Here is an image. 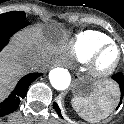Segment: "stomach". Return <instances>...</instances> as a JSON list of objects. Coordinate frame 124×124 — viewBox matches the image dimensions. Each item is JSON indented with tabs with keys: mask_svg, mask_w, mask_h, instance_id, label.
I'll list each match as a JSON object with an SVG mask.
<instances>
[{
	"mask_svg": "<svg viewBox=\"0 0 124 124\" xmlns=\"http://www.w3.org/2000/svg\"><path fill=\"white\" fill-rule=\"evenodd\" d=\"M99 91H104L110 94L114 99L117 95H114L116 88L109 82H94L90 78L80 77L74 85L73 93L76 97H90ZM86 120V119H85ZM88 120V119H87ZM89 122H95L89 118Z\"/></svg>",
	"mask_w": 124,
	"mask_h": 124,
	"instance_id": "stomach-1",
	"label": "stomach"
}]
</instances>
